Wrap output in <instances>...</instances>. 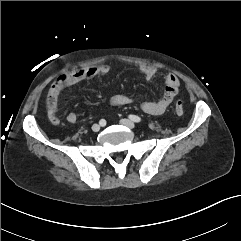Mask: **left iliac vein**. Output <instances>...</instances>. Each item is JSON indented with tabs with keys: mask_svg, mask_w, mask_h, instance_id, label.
<instances>
[{
	"mask_svg": "<svg viewBox=\"0 0 241 241\" xmlns=\"http://www.w3.org/2000/svg\"><path fill=\"white\" fill-rule=\"evenodd\" d=\"M120 123H121L122 125L130 128V129H133V128L135 127L134 122H132V121L129 120V119H122V120L120 121Z\"/></svg>",
	"mask_w": 241,
	"mask_h": 241,
	"instance_id": "obj_1",
	"label": "left iliac vein"
}]
</instances>
